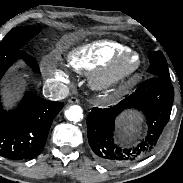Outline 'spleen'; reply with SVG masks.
I'll return each instance as SVG.
<instances>
[{
  "label": "spleen",
  "instance_id": "obj_1",
  "mask_svg": "<svg viewBox=\"0 0 183 183\" xmlns=\"http://www.w3.org/2000/svg\"><path fill=\"white\" fill-rule=\"evenodd\" d=\"M137 118L133 114H127L119 120V124L123 127L124 135H134L138 132Z\"/></svg>",
  "mask_w": 183,
  "mask_h": 183
}]
</instances>
